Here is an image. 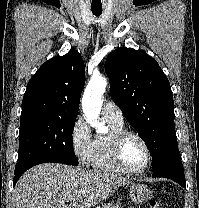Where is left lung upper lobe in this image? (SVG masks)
I'll list each match as a JSON object with an SVG mask.
<instances>
[{"label":"left lung upper lobe","instance_id":"5c2ea615","mask_svg":"<svg viewBox=\"0 0 199 208\" xmlns=\"http://www.w3.org/2000/svg\"><path fill=\"white\" fill-rule=\"evenodd\" d=\"M110 94L152 155V167L178 150L170 83L145 51L118 48L106 60Z\"/></svg>","mask_w":199,"mask_h":208}]
</instances>
